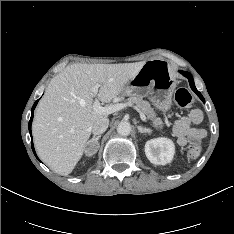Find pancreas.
I'll list each match as a JSON object with an SVG mask.
<instances>
[{
  "label": "pancreas",
  "mask_w": 234,
  "mask_h": 234,
  "mask_svg": "<svg viewBox=\"0 0 234 234\" xmlns=\"http://www.w3.org/2000/svg\"><path fill=\"white\" fill-rule=\"evenodd\" d=\"M127 103L129 105H134L141 111L144 115L147 116L148 119L152 121V124L155 128H162V120L157 117L154 109L150 106L148 101L143 100L141 97L131 96L128 98Z\"/></svg>",
  "instance_id": "cf45deb5"
}]
</instances>
